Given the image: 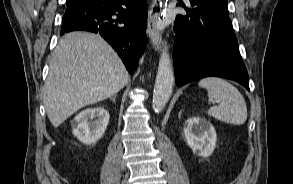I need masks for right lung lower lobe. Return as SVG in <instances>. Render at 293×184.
Masks as SVG:
<instances>
[{
	"label": "right lung lower lobe",
	"instance_id": "98d812e1",
	"mask_svg": "<svg viewBox=\"0 0 293 184\" xmlns=\"http://www.w3.org/2000/svg\"><path fill=\"white\" fill-rule=\"evenodd\" d=\"M146 25V0H89L66 10L60 34L73 30L99 33L132 74L147 43Z\"/></svg>",
	"mask_w": 293,
	"mask_h": 184
}]
</instances>
